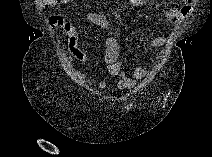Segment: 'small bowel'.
Masks as SVG:
<instances>
[{"mask_svg":"<svg viewBox=\"0 0 212 157\" xmlns=\"http://www.w3.org/2000/svg\"><path fill=\"white\" fill-rule=\"evenodd\" d=\"M69 0H41L39 2V9L41 11L45 10L47 7H57L59 4H68ZM193 4L192 2H186L183 6L179 8H172L166 12V20L173 25H181L184 20H186L192 13ZM83 16L91 21L92 23L98 25L99 27L110 30L111 24L103 12H86ZM48 25L51 29L60 28L65 31L68 36V47L71 54L81 60L87 61L89 57L87 54L79 47L78 40L79 34L76 28L68 22L60 14H52L48 18ZM167 43L165 37H156L149 41L148 45L152 48H159ZM106 55L105 64L107 71L110 76L118 77L117 87L121 90L134 87L138 80L146 78L151 72L153 65L151 66H137L135 67L131 74H129L122 63L118 59L119 56V45L115 37H108L106 39ZM92 86L96 89L103 90L106 88L107 84L105 81L92 82Z\"/></svg>","mask_w":212,"mask_h":157,"instance_id":"1","label":"small bowel"}]
</instances>
